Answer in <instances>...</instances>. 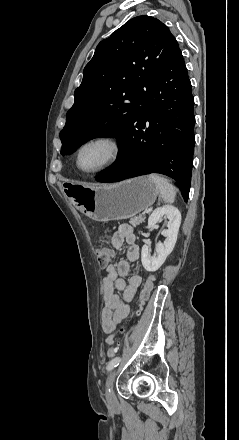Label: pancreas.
Wrapping results in <instances>:
<instances>
[{
	"label": "pancreas",
	"mask_w": 239,
	"mask_h": 440,
	"mask_svg": "<svg viewBox=\"0 0 239 440\" xmlns=\"http://www.w3.org/2000/svg\"><path fill=\"white\" fill-rule=\"evenodd\" d=\"M144 220V216H135V218H130L129 224H131V226H134L135 228V226H140V224H142Z\"/></svg>",
	"instance_id": "cf45deb5"
}]
</instances>
